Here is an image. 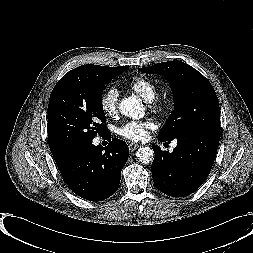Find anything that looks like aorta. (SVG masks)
Wrapping results in <instances>:
<instances>
[{"label":"aorta","instance_id":"762f6f07","mask_svg":"<svg viewBox=\"0 0 253 253\" xmlns=\"http://www.w3.org/2000/svg\"><path fill=\"white\" fill-rule=\"evenodd\" d=\"M119 109L121 114L133 119L141 118L144 115L142 100L135 95L124 98ZM136 157L141 163L148 164L154 159V151L150 147H140L136 152Z\"/></svg>","mask_w":253,"mask_h":253}]
</instances>
